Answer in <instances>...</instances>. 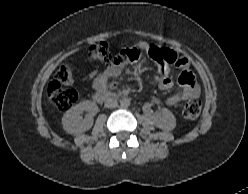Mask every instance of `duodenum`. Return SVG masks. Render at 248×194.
Returning a JSON list of instances; mask_svg holds the SVG:
<instances>
[{
    "label": "duodenum",
    "mask_w": 248,
    "mask_h": 194,
    "mask_svg": "<svg viewBox=\"0 0 248 194\" xmlns=\"http://www.w3.org/2000/svg\"><path fill=\"white\" fill-rule=\"evenodd\" d=\"M124 97L123 94H118L114 92H107V91H98L94 95V100L98 103H102L107 100L116 99Z\"/></svg>",
    "instance_id": "1"
}]
</instances>
